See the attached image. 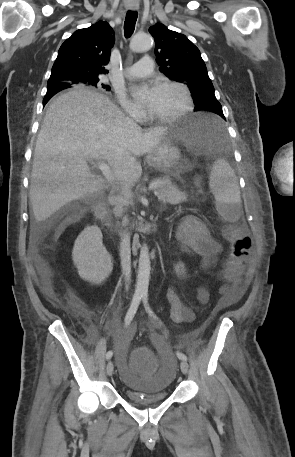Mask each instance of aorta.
Masks as SVG:
<instances>
[{
	"label": "aorta",
	"instance_id": "762f6f07",
	"mask_svg": "<svg viewBox=\"0 0 295 457\" xmlns=\"http://www.w3.org/2000/svg\"><path fill=\"white\" fill-rule=\"evenodd\" d=\"M129 47L133 52L147 51L152 47V37L149 34L137 33L132 37ZM150 269L149 250L147 245L143 244L139 256L136 293H148Z\"/></svg>",
	"mask_w": 295,
	"mask_h": 457
}]
</instances>
